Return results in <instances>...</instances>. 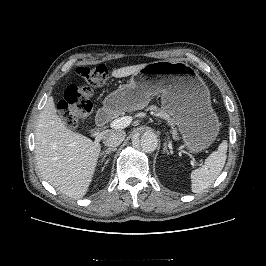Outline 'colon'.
<instances>
[{"label": "colon", "mask_w": 266, "mask_h": 266, "mask_svg": "<svg viewBox=\"0 0 266 266\" xmlns=\"http://www.w3.org/2000/svg\"><path fill=\"white\" fill-rule=\"evenodd\" d=\"M109 79V71L104 65L80 66L75 80L64 92L58 110L64 123L75 127L80 117L89 114L93 106V91L103 87Z\"/></svg>", "instance_id": "5ec220e1"}]
</instances>
